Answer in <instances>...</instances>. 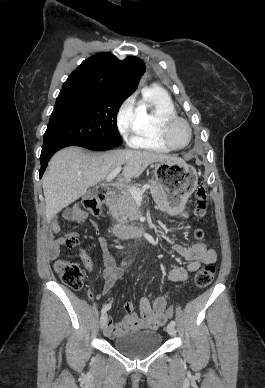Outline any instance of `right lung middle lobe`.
Returning a JSON list of instances; mask_svg holds the SVG:
<instances>
[{
    "instance_id": "right-lung-middle-lobe-1",
    "label": "right lung middle lobe",
    "mask_w": 265,
    "mask_h": 388,
    "mask_svg": "<svg viewBox=\"0 0 265 388\" xmlns=\"http://www.w3.org/2000/svg\"><path fill=\"white\" fill-rule=\"evenodd\" d=\"M129 96L114 92H60L44 134V145L72 141L90 150L122 144L117 113Z\"/></svg>"
}]
</instances>
